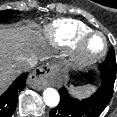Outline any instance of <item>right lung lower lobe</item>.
I'll return each instance as SVG.
<instances>
[{"instance_id":"98d812e1","label":"right lung lower lobe","mask_w":117,"mask_h":117,"mask_svg":"<svg viewBox=\"0 0 117 117\" xmlns=\"http://www.w3.org/2000/svg\"><path fill=\"white\" fill-rule=\"evenodd\" d=\"M28 73L21 74L0 96V117H11L17 105V96L26 86Z\"/></svg>"}]
</instances>
